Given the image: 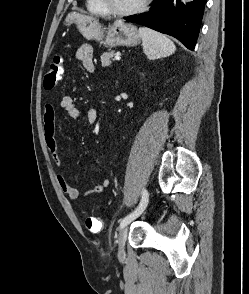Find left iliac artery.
I'll return each mask as SVG.
<instances>
[{"mask_svg": "<svg viewBox=\"0 0 249 294\" xmlns=\"http://www.w3.org/2000/svg\"><path fill=\"white\" fill-rule=\"evenodd\" d=\"M148 204V192L147 190H143L142 191V199L141 202L139 204V206L137 207V209L130 213L129 215H127L120 223V228L125 227L127 224H129L132 220L136 219L137 217H139L143 211L146 209Z\"/></svg>", "mask_w": 249, "mask_h": 294, "instance_id": "left-iliac-artery-1", "label": "left iliac artery"}]
</instances>
